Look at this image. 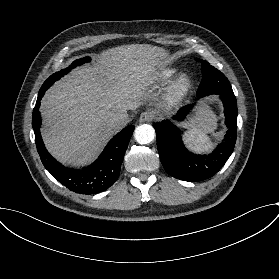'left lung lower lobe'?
<instances>
[{
	"instance_id": "0a47b994",
	"label": "left lung lower lobe",
	"mask_w": 279,
	"mask_h": 279,
	"mask_svg": "<svg viewBox=\"0 0 279 279\" xmlns=\"http://www.w3.org/2000/svg\"><path fill=\"white\" fill-rule=\"evenodd\" d=\"M220 97L228 131L223 142L211 154L196 155L189 152L182 143L180 132L171 122L164 120L153 124L160 160L169 175L189 182L202 181L219 172L230 157L237 139V101L235 97ZM192 107L187 105L181 108L173 118L183 120Z\"/></svg>"
}]
</instances>
